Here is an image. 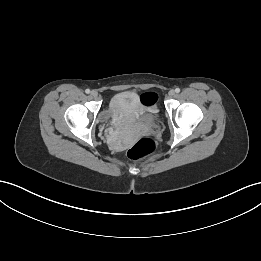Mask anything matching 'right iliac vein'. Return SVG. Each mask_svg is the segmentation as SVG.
Returning a JSON list of instances; mask_svg holds the SVG:
<instances>
[{"mask_svg": "<svg viewBox=\"0 0 261 261\" xmlns=\"http://www.w3.org/2000/svg\"><path fill=\"white\" fill-rule=\"evenodd\" d=\"M90 94H91L92 97L98 96V92L96 90H92Z\"/></svg>", "mask_w": 261, "mask_h": 261, "instance_id": "63e3f726", "label": "right iliac vein"}]
</instances>
